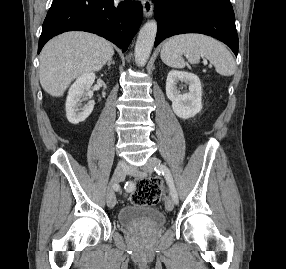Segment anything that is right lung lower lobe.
<instances>
[{
    "instance_id": "98d812e1",
    "label": "right lung lower lobe",
    "mask_w": 286,
    "mask_h": 269,
    "mask_svg": "<svg viewBox=\"0 0 286 269\" xmlns=\"http://www.w3.org/2000/svg\"><path fill=\"white\" fill-rule=\"evenodd\" d=\"M142 20L139 2L125 0H54L42 26L38 53L52 37L66 31L98 34L126 51Z\"/></svg>"
}]
</instances>
